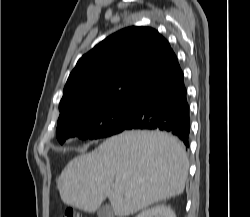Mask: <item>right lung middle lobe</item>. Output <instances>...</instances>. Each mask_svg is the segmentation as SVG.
I'll list each match as a JSON object with an SVG mask.
<instances>
[{"mask_svg": "<svg viewBox=\"0 0 250 217\" xmlns=\"http://www.w3.org/2000/svg\"><path fill=\"white\" fill-rule=\"evenodd\" d=\"M135 99L114 101L82 110L60 122L56 129L58 141L66 139H98L122 132L132 120Z\"/></svg>", "mask_w": 250, "mask_h": 217, "instance_id": "dd1d6c3e", "label": "right lung middle lobe"}]
</instances>
